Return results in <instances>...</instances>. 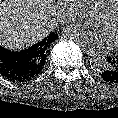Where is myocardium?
Listing matches in <instances>:
<instances>
[{"label":"myocardium","mask_w":118,"mask_h":118,"mask_svg":"<svg viewBox=\"0 0 118 118\" xmlns=\"http://www.w3.org/2000/svg\"><path fill=\"white\" fill-rule=\"evenodd\" d=\"M117 8H118V0H113L111 3L101 8V13L109 16L112 15ZM112 47L118 49V44H114Z\"/></svg>","instance_id":"f54148a6"}]
</instances>
